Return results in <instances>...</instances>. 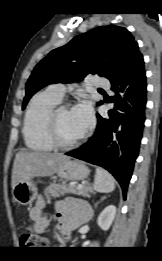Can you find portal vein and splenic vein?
<instances>
[{"instance_id":"obj_1","label":"portal vein and splenic vein","mask_w":162,"mask_h":261,"mask_svg":"<svg viewBox=\"0 0 162 261\" xmlns=\"http://www.w3.org/2000/svg\"><path fill=\"white\" fill-rule=\"evenodd\" d=\"M82 185H83V184H79V185H78V188H79V189L82 188Z\"/></svg>"}]
</instances>
